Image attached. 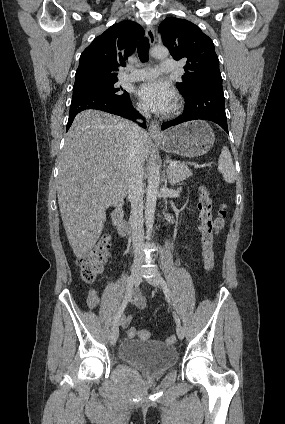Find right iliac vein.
Listing matches in <instances>:
<instances>
[{
    "instance_id": "1",
    "label": "right iliac vein",
    "mask_w": 285,
    "mask_h": 424,
    "mask_svg": "<svg viewBox=\"0 0 285 424\" xmlns=\"http://www.w3.org/2000/svg\"><path fill=\"white\" fill-rule=\"evenodd\" d=\"M141 263V258H137L134 260L133 266H132V282L135 286H138L140 283V276H139V265ZM119 336V329L118 325H115L111 332H110V344L115 345L117 339Z\"/></svg>"
}]
</instances>
